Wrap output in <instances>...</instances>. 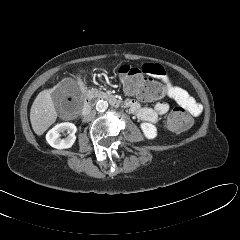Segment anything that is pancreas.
I'll return each mask as SVG.
<instances>
[{
  "instance_id": "obj_1",
  "label": "pancreas",
  "mask_w": 240,
  "mask_h": 240,
  "mask_svg": "<svg viewBox=\"0 0 240 240\" xmlns=\"http://www.w3.org/2000/svg\"><path fill=\"white\" fill-rule=\"evenodd\" d=\"M103 93L101 91H98L97 89H91L86 92L87 98L97 97L99 95H102Z\"/></svg>"
}]
</instances>
